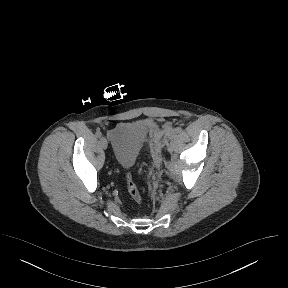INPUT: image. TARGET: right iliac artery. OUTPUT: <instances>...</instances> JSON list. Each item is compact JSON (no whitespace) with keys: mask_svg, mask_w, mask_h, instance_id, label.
<instances>
[{"mask_svg":"<svg viewBox=\"0 0 288 288\" xmlns=\"http://www.w3.org/2000/svg\"><path fill=\"white\" fill-rule=\"evenodd\" d=\"M95 135H96V137H98V138H101V137H102V133H101L100 131H97V132L95 133Z\"/></svg>","mask_w":288,"mask_h":288,"instance_id":"1","label":"right iliac artery"}]
</instances>
